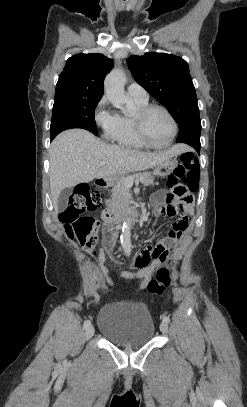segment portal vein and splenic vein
I'll list each match as a JSON object with an SVG mask.
<instances>
[{
	"label": "portal vein and splenic vein",
	"instance_id": "portal-vein-and-splenic-vein-1",
	"mask_svg": "<svg viewBox=\"0 0 247 407\" xmlns=\"http://www.w3.org/2000/svg\"><path fill=\"white\" fill-rule=\"evenodd\" d=\"M104 165H105V163H100L99 167H102ZM133 182H134V178H132V177H127L125 179V184L127 187H131L133 185Z\"/></svg>",
	"mask_w": 247,
	"mask_h": 407
}]
</instances>
